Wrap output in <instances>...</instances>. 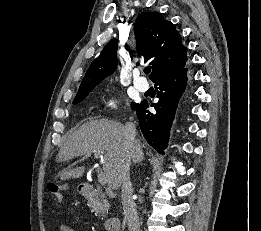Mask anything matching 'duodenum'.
Instances as JSON below:
<instances>
[{
    "label": "duodenum",
    "instance_id": "duodenum-1",
    "mask_svg": "<svg viewBox=\"0 0 261 231\" xmlns=\"http://www.w3.org/2000/svg\"><path fill=\"white\" fill-rule=\"evenodd\" d=\"M79 190L86 197H93L96 193V188L93 185H80ZM106 226L108 231H119L120 220L117 217H111Z\"/></svg>",
    "mask_w": 261,
    "mask_h": 231
}]
</instances>
